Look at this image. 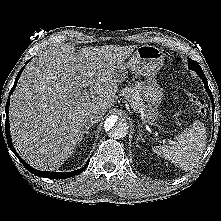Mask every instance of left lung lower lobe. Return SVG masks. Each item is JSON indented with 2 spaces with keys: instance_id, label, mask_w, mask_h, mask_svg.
I'll return each instance as SVG.
<instances>
[{
  "instance_id": "left-lung-lower-lobe-1",
  "label": "left lung lower lobe",
  "mask_w": 221,
  "mask_h": 221,
  "mask_svg": "<svg viewBox=\"0 0 221 221\" xmlns=\"http://www.w3.org/2000/svg\"><path fill=\"white\" fill-rule=\"evenodd\" d=\"M196 72L199 75V77L202 79V81L204 83V86H205V88H206V90H207V92H208V94H209V96H210V98H211V100L213 102V96H212V93H211V91L209 89V86H208V83H207V79H206L203 71L201 69H198V70H196ZM213 105H214V102H213Z\"/></svg>"
}]
</instances>
